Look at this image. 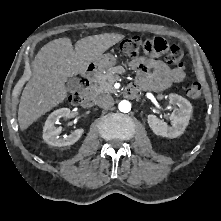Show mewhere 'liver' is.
Wrapping results in <instances>:
<instances>
[{
    "instance_id": "1",
    "label": "liver",
    "mask_w": 221,
    "mask_h": 221,
    "mask_svg": "<svg viewBox=\"0 0 221 221\" xmlns=\"http://www.w3.org/2000/svg\"><path fill=\"white\" fill-rule=\"evenodd\" d=\"M122 35L105 33L78 40L75 49L69 38L55 39L44 45L33 61L32 77L19 103L18 122L27 129L42 115L67 97L65 83L69 77L84 74L90 63L118 43Z\"/></svg>"
}]
</instances>
